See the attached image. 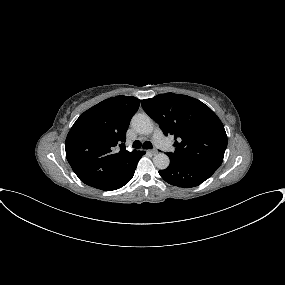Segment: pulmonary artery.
Masks as SVG:
<instances>
[{
    "label": "pulmonary artery",
    "mask_w": 285,
    "mask_h": 285,
    "mask_svg": "<svg viewBox=\"0 0 285 285\" xmlns=\"http://www.w3.org/2000/svg\"><path fill=\"white\" fill-rule=\"evenodd\" d=\"M153 138L155 144L164 151H170L171 144L170 142L163 136L161 130L159 128H155L153 133Z\"/></svg>",
    "instance_id": "1"
}]
</instances>
